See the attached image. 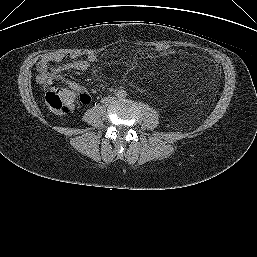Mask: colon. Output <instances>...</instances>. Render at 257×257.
<instances>
[{"mask_svg":"<svg viewBox=\"0 0 257 257\" xmlns=\"http://www.w3.org/2000/svg\"><path fill=\"white\" fill-rule=\"evenodd\" d=\"M156 51L160 54H166L170 51V47L166 44H159L156 46ZM45 101L48 107L56 113H70L78 103H85L86 98L84 95L52 83L47 88Z\"/></svg>","mask_w":257,"mask_h":257,"instance_id":"5ec220e1","label":"colon"}]
</instances>
